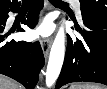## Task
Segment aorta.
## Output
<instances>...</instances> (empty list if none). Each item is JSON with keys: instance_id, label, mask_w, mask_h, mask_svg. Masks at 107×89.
Returning <instances> with one entry per match:
<instances>
[{"instance_id": "1", "label": "aorta", "mask_w": 107, "mask_h": 89, "mask_svg": "<svg viewBox=\"0 0 107 89\" xmlns=\"http://www.w3.org/2000/svg\"><path fill=\"white\" fill-rule=\"evenodd\" d=\"M65 55V33L63 27H60L53 42L49 61L46 70V86L51 87L57 80Z\"/></svg>"}]
</instances>
